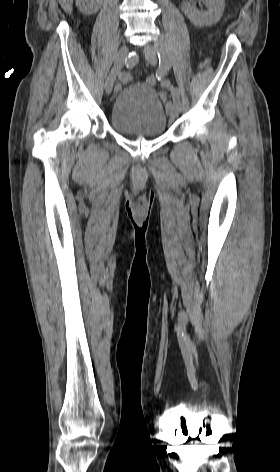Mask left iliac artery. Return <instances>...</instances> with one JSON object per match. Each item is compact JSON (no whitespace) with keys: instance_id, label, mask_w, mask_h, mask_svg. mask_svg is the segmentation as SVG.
<instances>
[{"instance_id":"obj_1","label":"left iliac artery","mask_w":280,"mask_h":472,"mask_svg":"<svg viewBox=\"0 0 280 472\" xmlns=\"http://www.w3.org/2000/svg\"><path fill=\"white\" fill-rule=\"evenodd\" d=\"M156 51L158 53V57H159V60L161 61V64L166 68L171 67V62H170V59L168 57L165 45L163 43H157L156 44ZM171 95H172V99H173L174 104L180 110L181 109V102H180L179 89L176 88V87L172 88Z\"/></svg>"}]
</instances>
